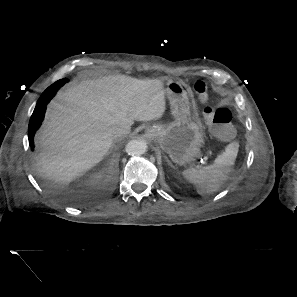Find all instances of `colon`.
<instances>
[{
	"label": "colon",
	"mask_w": 297,
	"mask_h": 297,
	"mask_svg": "<svg viewBox=\"0 0 297 297\" xmlns=\"http://www.w3.org/2000/svg\"><path fill=\"white\" fill-rule=\"evenodd\" d=\"M193 88L202 103H207L209 96L206 83L197 79L194 81ZM204 114L209 121L212 133L219 139L228 140L234 134L232 125V115L229 109L225 107L212 108L206 106Z\"/></svg>",
	"instance_id": "obj_1"
}]
</instances>
